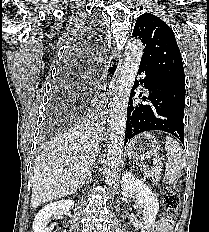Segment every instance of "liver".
Segmentation results:
<instances>
[{
    "label": "liver",
    "mask_w": 209,
    "mask_h": 232,
    "mask_svg": "<svg viewBox=\"0 0 209 232\" xmlns=\"http://www.w3.org/2000/svg\"><path fill=\"white\" fill-rule=\"evenodd\" d=\"M93 132L76 125L45 146L35 159L31 207L72 195L82 187L93 163Z\"/></svg>",
    "instance_id": "liver-1"
}]
</instances>
